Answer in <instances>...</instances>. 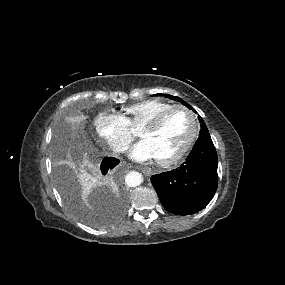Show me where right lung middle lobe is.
I'll return each mask as SVG.
<instances>
[{
  "label": "right lung middle lobe",
  "mask_w": 285,
  "mask_h": 285,
  "mask_svg": "<svg viewBox=\"0 0 285 285\" xmlns=\"http://www.w3.org/2000/svg\"><path fill=\"white\" fill-rule=\"evenodd\" d=\"M56 180L65 203L78 217H80L85 222L98 227H102L108 224L106 221L88 215L80 207L75 186L70 177L67 175L66 169L62 166H57Z\"/></svg>",
  "instance_id": "1"
}]
</instances>
